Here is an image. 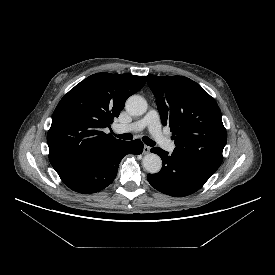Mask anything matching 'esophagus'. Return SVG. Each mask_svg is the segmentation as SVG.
<instances>
[{"instance_id":"1","label":"esophagus","mask_w":275,"mask_h":275,"mask_svg":"<svg viewBox=\"0 0 275 275\" xmlns=\"http://www.w3.org/2000/svg\"><path fill=\"white\" fill-rule=\"evenodd\" d=\"M150 150H151V147L145 145L144 148H143V153L148 154V153H150Z\"/></svg>"}]
</instances>
